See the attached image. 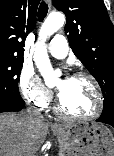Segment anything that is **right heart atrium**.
Wrapping results in <instances>:
<instances>
[{
    "label": "right heart atrium",
    "mask_w": 114,
    "mask_h": 156,
    "mask_svg": "<svg viewBox=\"0 0 114 156\" xmlns=\"http://www.w3.org/2000/svg\"><path fill=\"white\" fill-rule=\"evenodd\" d=\"M18 87L23 99L37 108H46L52 100V94L30 67L22 68L18 77Z\"/></svg>",
    "instance_id": "d8ad5b80"
}]
</instances>
